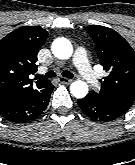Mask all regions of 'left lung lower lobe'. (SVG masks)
Masks as SVG:
<instances>
[{
	"instance_id": "left-lung-lower-lobe-1",
	"label": "left lung lower lobe",
	"mask_w": 135,
	"mask_h": 165,
	"mask_svg": "<svg viewBox=\"0 0 135 165\" xmlns=\"http://www.w3.org/2000/svg\"><path fill=\"white\" fill-rule=\"evenodd\" d=\"M78 105L88 117L96 121H112L123 115L112 105L91 92L79 99Z\"/></svg>"
}]
</instances>
